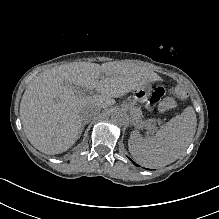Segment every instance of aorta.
Segmentation results:
<instances>
[{"mask_svg": "<svg viewBox=\"0 0 219 219\" xmlns=\"http://www.w3.org/2000/svg\"><path fill=\"white\" fill-rule=\"evenodd\" d=\"M110 115L112 121L119 126L126 125L129 122L128 115L123 109L113 108Z\"/></svg>", "mask_w": 219, "mask_h": 219, "instance_id": "762f6f07", "label": "aorta"}]
</instances>
